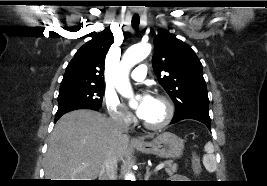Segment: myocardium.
<instances>
[{"label": "myocardium", "instance_id": "myocardium-1", "mask_svg": "<svg viewBox=\"0 0 267 186\" xmlns=\"http://www.w3.org/2000/svg\"><path fill=\"white\" fill-rule=\"evenodd\" d=\"M155 99L164 105L166 112H165L164 118L158 123L151 124L143 120L142 124L148 130L163 129L172 121L174 117V106L172 102L170 101V99H168L166 96H163V95H157Z\"/></svg>", "mask_w": 267, "mask_h": 186}]
</instances>
